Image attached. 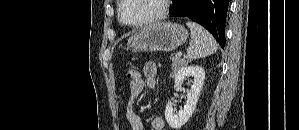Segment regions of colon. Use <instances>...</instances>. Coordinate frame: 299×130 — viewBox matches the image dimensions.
I'll return each mask as SVG.
<instances>
[{"instance_id":"1","label":"colon","mask_w":299,"mask_h":130,"mask_svg":"<svg viewBox=\"0 0 299 130\" xmlns=\"http://www.w3.org/2000/svg\"><path fill=\"white\" fill-rule=\"evenodd\" d=\"M127 77L130 84L138 83L142 79L140 71L136 68L129 69L127 73Z\"/></svg>"}]
</instances>
